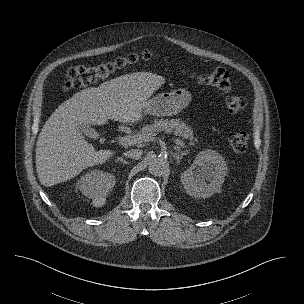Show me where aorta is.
<instances>
[{"mask_svg": "<svg viewBox=\"0 0 304 304\" xmlns=\"http://www.w3.org/2000/svg\"><path fill=\"white\" fill-rule=\"evenodd\" d=\"M148 169L153 175H163L168 170V161L162 156H155L149 161Z\"/></svg>", "mask_w": 304, "mask_h": 304, "instance_id": "aorta-1", "label": "aorta"}]
</instances>
